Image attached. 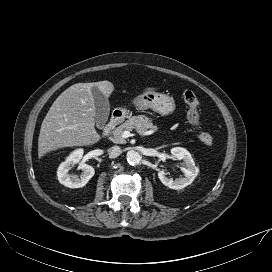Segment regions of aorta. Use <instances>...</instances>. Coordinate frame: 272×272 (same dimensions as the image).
<instances>
[{"label":"aorta","instance_id":"762f6f07","mask_svg":"<svg viewBox=\"0 0 272 272\" xmlns=\"http://www.w3.org/2000/svg\"><path fill=\"white\" fill-rule=\"evenodd\" d=\"M127 162L130 165H138L141 162L142 156L135 150H130L126 154Z\"/></svg>","mask_w":272,"mask_h":272}]
</instances>
